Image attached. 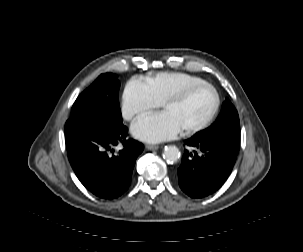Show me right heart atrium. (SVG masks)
<instances>
[{
  "label": "right heart atrium",
  "mask_w": 303,
  "mask_h": 252,
  "mask_svg": "<svg viewBox=\"0 0 303 252\" xmlns=\"http://www.w3.org/2000/svg\"><path fill=\"white\" fill-rule=\"evenodd\" d=\"M155 107L156 104L151 100L145 84L138 78L131 79L121 101L122 117L131 122L153 111Z\"/></svg>",
  "instance_id": "1"
}]
</instances>
